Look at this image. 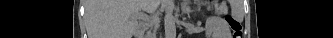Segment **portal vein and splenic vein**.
I'll return each instance as SVG.
<instances>
[{
	"label": "portal vein and splenic vein",
	"instance_id": "18ae733b",
	"mask_svg": "<svg viewBox=\"0 0 333 38\" xmlns=\"http://www.w3.org/2000/svg\"><path fill=\"white\" fill-rule=\"evenodd\" d=\"M138 18L142 19V20H145V21H148L149 20V17L147 15H145L143 12H140L138 14Z\"/></svg>",
	"mask_w": 333,
	"mask_h": 38
}]
</instances>
